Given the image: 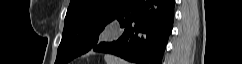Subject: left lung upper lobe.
<instances>
[{"instance_id":"1","label":"left lung upper lobe","mask_w":242,"mask_h":64,"mask_svg":"<svg viewBox=\"0 0 242 64\" xmlns=\"http://www.w3.org/2000/svg\"><path fill=\"white\" fill-rule=\"evenodd\" d=\"M131 0H71L55 64H67L98 44L99 34Z\"/></svg>"}]
</instances>
